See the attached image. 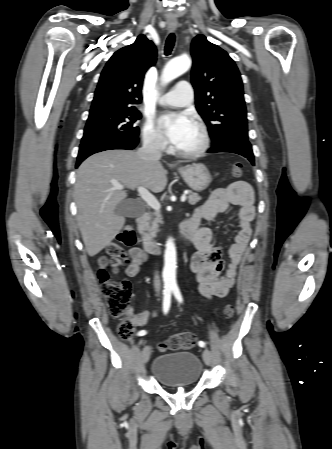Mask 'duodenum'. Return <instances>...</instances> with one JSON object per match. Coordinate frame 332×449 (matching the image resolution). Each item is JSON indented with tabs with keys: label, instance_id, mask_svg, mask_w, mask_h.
Masks as SVG:
<instances>
[{
	"label": "duodenum",
	"instance_id": "duodenum-1",
	"mask_svg": "<svg viewBox=\"0 0 332 449\" xmlns=\"http://www.w3.org/2000/svg\"><path fill=\"white\" fill-rule=\"evenodd\" d=\"M148 220V214L146 212L142 213L140 216L136 219V224L139 228V230L142 232V245L145 251L147 252H158L159 250V243L152 238L147 232H146V223ZM181 237L187 241L190 242L192 239V224L190 219H186L182 224L180 228Z\"/></svg>",
	"mask_w": 332,
	"mask_h": 449
}]
</instances>
